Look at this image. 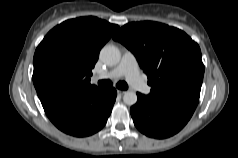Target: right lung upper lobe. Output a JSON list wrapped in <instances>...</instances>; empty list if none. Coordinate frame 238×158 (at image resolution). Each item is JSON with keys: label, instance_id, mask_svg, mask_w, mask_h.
Here are the masks:
<instances>
[{"label": "right lung upper lobe", "instance_id": "right-lung-upper-lobe-1", "mask_svg": "<svg viewBox=\"0 0 238 158\" xmlns=\"http://www.w3.org/2000/svg\"><path fill=\"white\" fill-rule=\"evenodd\" d=\"M118 25L96 17L67 20L54 27L38 45L33 63V83L37 92L55 88L89 90L92 68L99 52Z\"/></svg>", "mask_w": 238, "mask_h": 158}]
</instances>
